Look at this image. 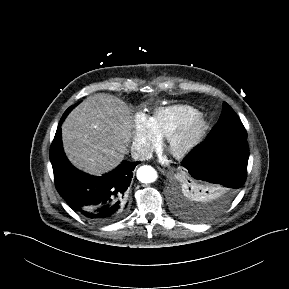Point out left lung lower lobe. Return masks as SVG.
<instances>
[{"instance_id": "1", "label": "left lung lower lobe", "mask_w": 289, "mask_h": 289, "mask_svg": "<svg viewBox=\"0 0 289 289\" xmlns=\"http://www.w3.org/2000/svg\"><path fill=\"white\" fill-rule=\"evenodd\" d=\"M248 158L246 138L204 141L182 161L186 168L184 187H205L215 210H221L245 183Z\"/></svg>"}]
</instances>
